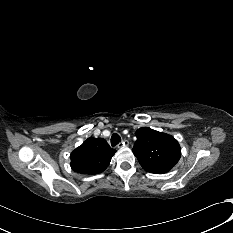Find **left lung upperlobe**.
Returning a JSON list of instances; mask_svg holds the SVG:
<instances>
[{"label":"left lung upper lobe","mask_w":233,"mask_h":233,"mask_svg":"<svg viewBox=\"0 0 233 233\" xmlns=\"http://www.w3.org/2000/svg\"><path fill=\"white\" fill-rule=\"evenodd\" d=\"M136 137L132 151L145 171L163 174L179 161L181 148L173 136L144 127L136 131Z\"/></svg>","instance_id":"1"}]
</instances>
